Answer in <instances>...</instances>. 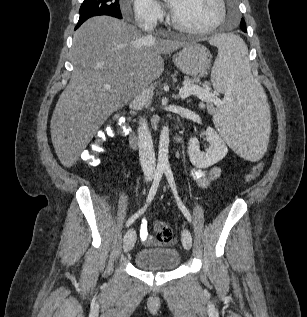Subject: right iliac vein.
<instances>
[{"instance_id":"right-iliac-vein-1","label":"right iliac vein","mask_w":307,"mask_h":317,"mask_svg":"<svg viewBox=\"0 0 307 317\" xmlns=\"http://www.w3.org/2000/svg\"><path fill=\"white\" fill-rule=\"evenodd\" d=\"M152 180V177L149 176L147 178V181L150 182ZM135 241H136V232L134 229H129L125 235H124V239H123V249L125 252H128L130 251L134 244H135Z\"/></svg>"}]
</instances>
